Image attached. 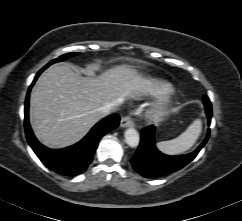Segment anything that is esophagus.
<instances>
[{
	"mask_svg": "<svg viewBox=\"0 0 242 221\" xmlns=\"http://www.w3.org/2000/svg\"><path fill=\"white\" fill-rule=\"evenodd\" d=\"M134 125L133 120L129 116H125L120 121V126L123 128L132 127Z\"/></svg>",
	"mask_w": 242,
	"mask_h": 221,
	"instance_id": "1",
	"label": "esophagus"
}]
</instances>
